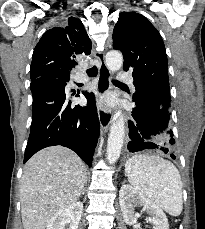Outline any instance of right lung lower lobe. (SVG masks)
<instances>
[{
    "label": "right lung lower lobe",
    "instance_id": "obj_1",
    "mask_svg": "<svg viewBox=\"0 0 205 229\" xmlns=\"http://www.w3.org/2000/svg\"><path fill=\"white\" fill-rule=\"evenodd\" d=\"M67 82L48 74L33 80L32 123L24 163L37 151L62 145L75 151L89 167L99 136V119L93 93L83 92L88 104L73 105ZM79 96V95H76Z\"/></svg>",
    "mask_w": 205,
    "mask_h": 229
}]
</instances>
